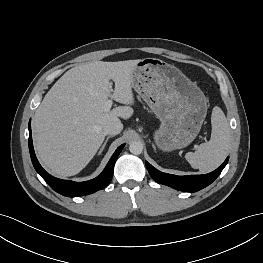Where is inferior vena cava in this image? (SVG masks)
Segmentation results:
<instances>
[{"label":"inferior vena cava","instance_id":"1","mask_svg":"<svg viewBox=\"0 0 263 263\" xmlns=\"http://www.w3.org/2000/svg\"><path fill=\"white\" fill-rule=\"evenodd\" d=\"M123 129V125L121 123V121H113L108 123L105 127H104V132L105 134H110V135H116L119 134Z\"/></svg>","mask_w":263,"mask_h":263}]
</instances>
